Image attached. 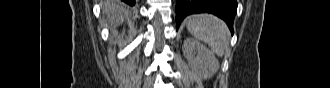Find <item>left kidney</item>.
Returning a JSON list of instances; mask_svg holds the SVG:
<instances>
[{
    "mask_svg": "<svg viewBox=\"0 0 330 88\" xmlns=\"http://www.w3.org/2000/svg\"><path fill=\"white\" fill-rule=\"evenodd\" d=\"M190 68L202 79L212 77L219 69L214 53L199 41L187 38L182 46Z\"/></svg>",
    "mask_w": 330,
    "mask_h": 88,
    "instance_id": "1",
    "label": "left kidney"
}]
</instances>
